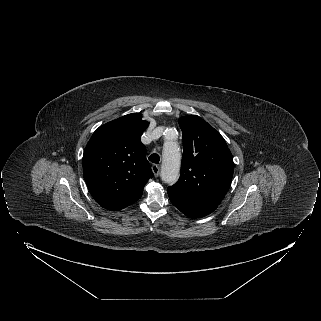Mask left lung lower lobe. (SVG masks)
I'll return each instance as SVG.
<instances>
[{
  "label": "left lung lower lobe",
  "mask_w": 321,
  "mask_h": 321,
  "mask_svg": "<svg viewBox=\"0 0 321 321\" xmlns=\"http://www.w3.org/2000/svg\"><path fill=\"white\" fill-rule=\"evenodd\" d=\"M167 191L172 204L190 218L204 217L217 208L215 204L190 200L170 190Z\"/></svg>",
  "instance_id": "obj_1"
}]
</instances>
